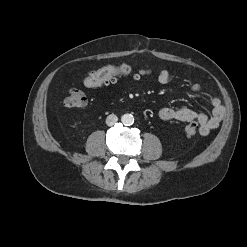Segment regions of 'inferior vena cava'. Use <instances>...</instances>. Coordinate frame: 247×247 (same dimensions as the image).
I'll use <instances>...</instances> for the list:
<instances>
[{"label":"inferior vena cava","instance_id":"obj_1","mask_svg":"<svg viewBox=\"0 0 247 247\" xmlns=\"http://www.w3.org/2000/svg\"><path fill=\"white\" fill-rule=\"evenodd\" d=\"M118 121V117L114 114H110L109 116H107L106 118V124L108 126H112L114 125L116 122Z\"/></svg>","mask_w":247,"mask_h":247}]
</instances>
